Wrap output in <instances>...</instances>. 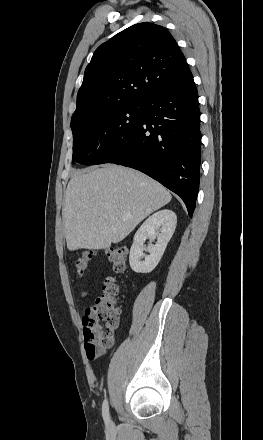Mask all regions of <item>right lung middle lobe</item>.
Returning <instances> with one entry per match:
<instances>
[{"label": "right lung middle lobe", "mask_w": 263, "mask_h": 440, "mask_svg": "<svg viewBox=\"0 0 263 440\" xmlns=\"http://www.w3.org/2000/svg\"><path fill=\"white\" fill-rule=\"evenodd\" d=\"M143 114V102H135L107 108L82 119L72 128V163H106L111 150L135 130Z\"/></svg>", "instance_id": "dd1d6c3e"}]
</instances>
